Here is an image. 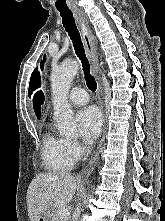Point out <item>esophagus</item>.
Wrapping results in <instances>:
<instances>
[{
    "label": "esophagus",
    "instance_id": "1",
    "mask_svg": "<svg viewBox=\"0 0 165 221\" xmlns=\"http://www.w3.org/2000/svg\"><path fill=\"white\" fill-rule=\"evenodd\" d=\"M73 13L81 29L83 43H84V46H85V49H86V52H87V55L91 64L92 72L98 80L99 91L100 93H102V84H101V79H100L99 72H98L97 47H96L94 37L92 35L90 26L88 24V21L84 12L81 9H74ZM101 106L102 108L104 107L103 100H101ZM104 132H105V129H104ZM103 140H104V137L102 138V142Z\"/></svg>",
    "mask_w": 165,
    "mask_h": 221
}]
</instances>
